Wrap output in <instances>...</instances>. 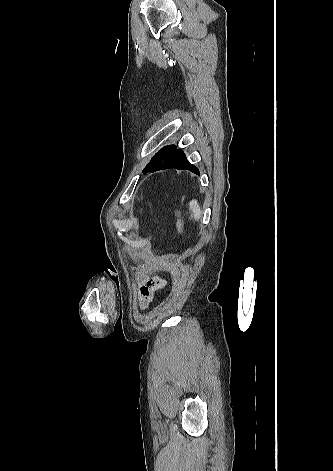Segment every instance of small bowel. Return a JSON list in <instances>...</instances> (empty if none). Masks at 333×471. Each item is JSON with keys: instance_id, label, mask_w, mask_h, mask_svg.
Masks as SVG:
<instances>
[{"instance_id": "small-bowel-1", "label": "small bowel", "mask_w": 333, "mask_h": 471, "mask_svg": "<svg viewBox=\"0 0 333 471\" xmlns=\"http://www.w3.org/2000/svg\"><path fill=\"white\" fill-rule=\"evenodd\" d=\"M167 281L159 276L152 275L150 272L144 273L137 281L135 287V296L137 298L139 308L145 310L153 301L157 291L165 288Z\"/></svg>"}]
</instances>
